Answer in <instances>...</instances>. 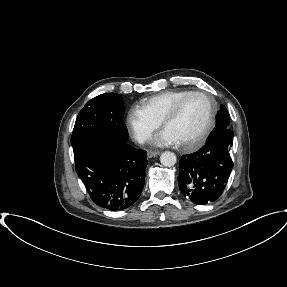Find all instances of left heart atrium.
<instances>
[{"label": "left heart atrium", "mask_w": 287, "mask_h": 287, "mask_svg": "<svg viewBox=\"0 0 287 287\" xmlns=\"http://www.w3.org/2000/svg\"><path fill=\"white\" fill-rule=\"evenodd\" d=\"M158 146H171L178 144L177 138L168 130L164 129L155 139Z\"/></svg>", "instance_id": "39dd6f15"}]
</instances>
